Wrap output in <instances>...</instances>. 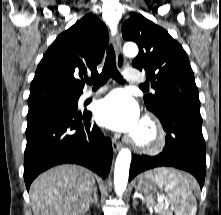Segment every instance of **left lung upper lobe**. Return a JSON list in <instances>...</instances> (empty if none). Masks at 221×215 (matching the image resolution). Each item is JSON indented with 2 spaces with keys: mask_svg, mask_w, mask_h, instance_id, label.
Instances as JSON below:
<instances>
[{
  "mask_svg": "<svg viewBox=\"0 0 221 215\" xmlns=\"http://www.w3.org/2000/svg\"><path fill=\"white\" fill-rule=\"evenodd\" d=\"M123 38L139 47L132 66L146 70L154 94L144 97L153 113L166 101H179L200 107L198 89L189 59L182 46L168 32L140 14H134L122 27Z\"/></svg>",
  "mask_w": 221,
  "mask_h": 215,
  "instance_id": "obj_1",
  "label": "left lung upper lobe"
}]
</instances>
